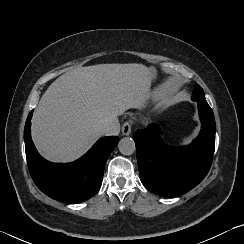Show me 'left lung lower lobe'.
<instances>
[{
    "instance_id": "1",
    "label": "left lung lower lobe",
    "mask_w": 244,
    "mask_h": 244,
    "mask_svg": "<svg viewBox=\"0 0 244 244\" xmlns=\"http://www.w3.org/2000/svg\"><path fill=\"white\" fill-rule=\"evenodd\" d=\"M197 102L203 127L190 146L167 147L152 125L133 135L141 182L159 196L172 197L191 190L210 169L215 147V120L211 108L204 105L203 100Z\"/></svg>"
}]
</instances>
